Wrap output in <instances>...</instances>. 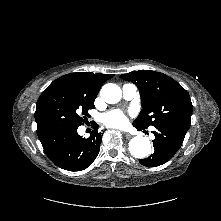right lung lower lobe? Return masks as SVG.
<instances>
[{
	"label": "right lung lower lobe",
	"instance_id": "1",
	"mask_svg": "<svg viewBox=\"0 0 221 221\" xmlns=\"http://www.w3.org/2000/svg\"><path fill=\"white\" fill-rule=\"evenodd\" d=\"M97 128L98 125L89 138L79 136L77 128H66L39 139L45 153L55 165L68 171H81L94 162L100 151L102 135Z\"/></svg>",
	"mask_w": 221,
	"mask_h": 221
}]
</instances>
